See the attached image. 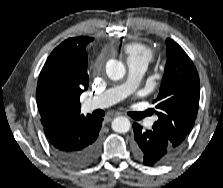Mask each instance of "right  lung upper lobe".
I'll return each instance as SVG.
<instances>
[{
  "label": "right lung upper lobe",
  "instance_id": "obj_1",
  "mask_svg": "<svg viewBox=\"0 0 223 188\" xmlns=\"http://www.w3.org/2000/svg\"><path fill=\"white\" fill-rule=\"evenodd\" d=\"M92 40L90 37L69 38L47 58L36 89L43 127L85 117L80 114L79 98L88 88V56L85 48Z\"/></svg>",
  "mask_w": 223,
  "mask_h": 188
}]
</instances>
